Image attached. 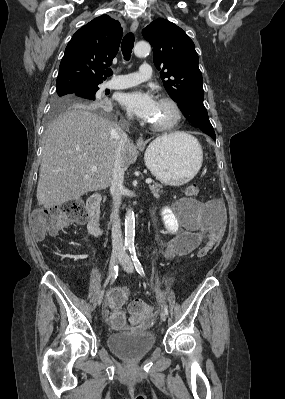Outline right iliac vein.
Here are the masks:
<instances>
[{
  "label": "right iliac vein",
  "instance_id": "obj_1",
  "mask_svg": "<svg viewBox=\"0 0 285 399\" xmlns=\"http://www.w3.org/2000/svg\"><path fill=\"white\" fill-rule=\"evenodd\" d=\"M118 255H119V253H116V252H115V253L112 254V256H111V258H110L109 273H108L107 279L110 278V276L112 275L113 267H114L115 264H116V260H117ZM104 293H105V291L102 290V291L97 295V297H96V305H97V306H99V305L102 303L103 298H104Z\"/></svg>",
  "mask_w": 285,
  "mask_h": 399
}]
</instances>
